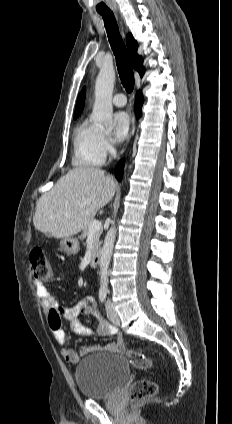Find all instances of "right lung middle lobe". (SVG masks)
Listing matches in <instances>:
<instances>
[{
	"label": "right lung middle lobe",
	"mask_w": 232,
	"mask_h": 424,
	"mask_svg": "<svg viewBox=\"0 0 232 424\" xmlns=\"http://www.w3.org/2000/svg\"><path fill=\"white\" fill-rule=\"evenodd\" d=\"M78 116H74V119H76Z\"/></svg>",
	"instance_id": "right-lung-middle-lobe-1"
}]
</instances>
